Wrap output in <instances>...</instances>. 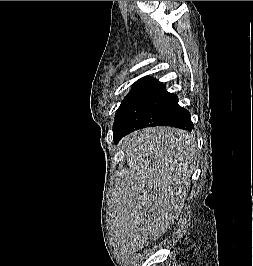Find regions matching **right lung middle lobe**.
<instances>
[{
	"label": "right lung middle lobe",
	"instance_id": "right-lung-middle-lobe-1",
	"mask_svg": "<svg viewBox=\"0 0 253 266\" xmlns=\"http://www.w3.org/2000/svg\"><path fill=\"white\" fill-rule=\"evenodd\" d=\"M173 97L165 86L129 94L116 111L114 123H125L130 128L152 126L165 118Z\"/></svg>",
	"mask_w": 253,
	"mask_h": 266
}]
</instances>
